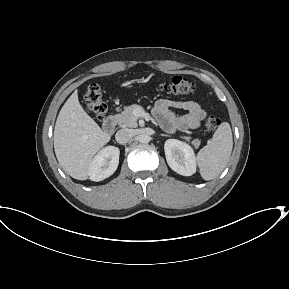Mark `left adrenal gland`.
I'll return each instance as SVG.
<instances>
[{
    "instance_id": "left-adrenal-gland-1",
    "label": "left adrenal gland",
    "mask_w": 289,
    "mask_h": 289,
    "mask_svg": "<svg viewBox=\"0 0 289 289\" xmlns=\"http://www.w3.org/2000/svg\"><path fill=\"white\" fill-rule=\"evenodd\" d=\"M160 136L169 137V135H167V134H160Z\"/></svg>"
}]
</instances>
